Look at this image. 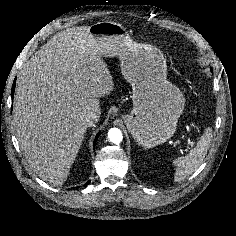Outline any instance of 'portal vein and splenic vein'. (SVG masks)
Returning <instances> with one entry per match:
<instances>
[{
	"mask_svg": "<svg viewBox=\"0 0 236 236\" xmlns=\"http://www.w3.org/2000/svg\"><path fill=\"white\" fill-rule=\"evenodd\" d=\"M184 140L187 142V144L191 147H193L194 143L191 142L190 140H187L186 138H184Z\"/></svg>",
	"mask_w": 236,
	"mask_h": 236,
	"instance_id": "18ae733b",
	"label": "portal vein and splenic vein"
}]
</instances>
